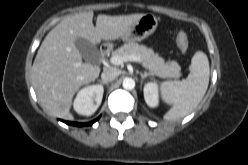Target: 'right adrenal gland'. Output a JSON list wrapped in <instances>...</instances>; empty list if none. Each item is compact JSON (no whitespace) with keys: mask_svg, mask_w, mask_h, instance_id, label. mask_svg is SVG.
I'll return each instance as SVG.
<instances>
[{"mask_svg":"<svg viewBox=\"0 0 248 165\" xmlns=\"http://www.w3.org/2000/svg\"><path fill=\"white\" fill-rule=\"evenodd\" d=\"M101 84H103V85H107L108 83L107 82H105V81H102V80H98Z\"/></svg>","mask_w":248,"mask_h":165,"instance_id":"obj_1","label":"right adrenal gland"}]
</instances>
